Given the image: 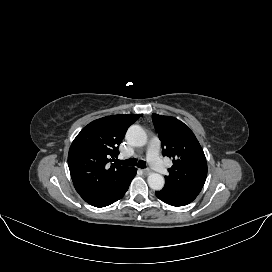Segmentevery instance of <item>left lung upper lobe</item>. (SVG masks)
<instances>
[{
    "label": "left lung upper lobe",
    "mask_w": 272,
    "mask_h": 272,
    "mask_svg": "<svg viewBox=\"0 0 272 272\" xmlns=\"http://www.w3.org/2000/svg\"><path fill=\"white\" fill-rule=\"evenodd\" d=\"M153 124L161 140L163 155L173 159L165 176V185L202 188L207 176V162L193 132L172 116L152 114Z\"/></svg>",
    "instance_id": "5c2ea615"
}]
</instances>
